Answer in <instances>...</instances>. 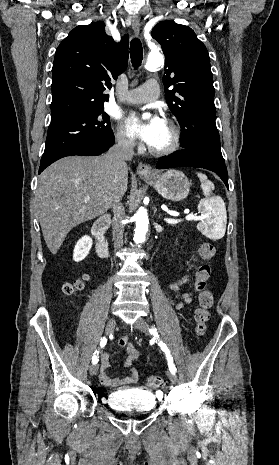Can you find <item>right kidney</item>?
Here are the masks:
<instances>
[{"label": "right kidney", "instance_id": "1", "mask_svg": "<svg viewBox=\"0 0 279 465\" xmlns=\"http://www.w3.org/2000/svg\"><path fill=\"white\" fill-rule=\"evenodd\" d=\"M92 244V238L88 235L79 239L74 248L73 260L75 262H80L86 258L92 248Z\"/></svg>", "mask_w": 279, "mask_h": 465}]
</instances>
